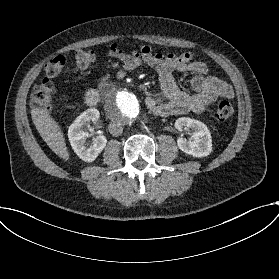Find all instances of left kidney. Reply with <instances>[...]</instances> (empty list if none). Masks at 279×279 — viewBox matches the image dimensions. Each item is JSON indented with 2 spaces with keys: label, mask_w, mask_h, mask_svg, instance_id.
Returning a JSON list of instances; mask_svg holds the SVG:
<instances>
[{
  "label": "left kidney",
  "mask_w": 279,
  "mask_h": 279,
  "mask_svg": "<svg viewBox=\"0 0 279 279\" xmlns=\"http://www.w3.org/2000/svg\"><path fill=\"white\" fill-rule=\"evenodd\" d=\"M174 127L178 131H183L184 127L192 130L189 140L178 137L177 145L181 151L194 157H205L211 153V134L203 122L189 117H181L175 121Z\"/></svg>",
  "instance_id": "5707ae66"
}]
</instances>
